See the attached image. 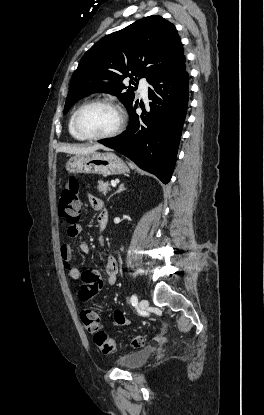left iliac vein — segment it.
Instances as JSON below:
<instances>
[{
    "instance_id": "left-iliac-vein-1",
    "label": "left iliac vein",
    "mask_w": 264,
    "mask_h": 415,
    "mask_svg": "<svg viewBox=\"0 0 264 415\" xmlns=\"http://www.w3.org/2000/svg\"><path fill=\"white\" fill-rule=\"evenodd\" d=\"M148 300L147 299H141L139 302V305L141 307V309H146V307L148 306Z\"/></svg>"
}]
</instances>
